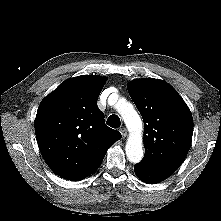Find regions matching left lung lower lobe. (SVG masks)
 Listing matches in <instances>:
<instances>
[{
	"label": "left lung lower lobe",
	"instance_id": "1",
	"mask_svg": "<svg viewBox=\"0 0 221 221\" xmlns=\"http://www.w3.org/2000/svg\"><path fill=\"white\" fill-rule=\"evenodd\" d=\"M134 171L138 178L147 184L159 183L172 175V173L168 171L152 167L143 162L136 164Z\"/></svg>",
	"mask_w": 221,
	"mask_h": 221
}]
</instances>
